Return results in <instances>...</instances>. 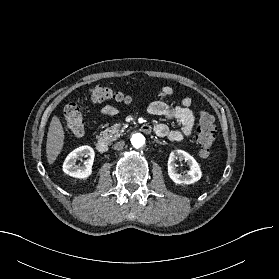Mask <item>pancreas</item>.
<instances>
[{"label":"pancreas","instance_id":"cf45deb5","mask_svg":"<svg viewBox=\"0 0 279 279\" xmlns=\"http://www.w3.org/2000/svg\"><path fill=\"white\" fill-rule=\"evenodd\" d=\"M124 127L122 124H114L112 125L110 128L105 129L104 131H102V133L100 134V136L108 141V142H112L117 140L118 138H120V136L122 135V133L124 132Z\"/></svg>","mask_w":279,"mask_h":279}]
</instances>
